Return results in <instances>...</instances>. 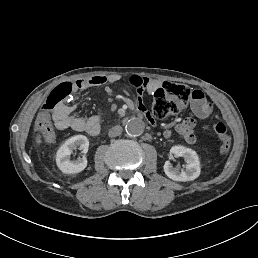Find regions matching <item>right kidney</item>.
<instances>
[{"mask_svg":"<svg viewBox=\"0 0 258 258\" xmlns=\"http://www.w3.org/2000/svg\"><path fill=\"white\" fill-rule=\"evenodd\" d=\"M76 148L81 149V158L72 159L70 154ZM89 148V141L83 135H76L67 139L59 148L56 155V164L58 167L67 173L80 172L87 165V153Z\"/></svg>","mask_w":258,"mask_h":258,"instance_id":"1","label":"right kidney"}]
</instances>
